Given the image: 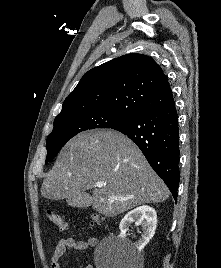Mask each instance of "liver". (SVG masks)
Segmentation results:
<instances>
[{
  "mask_svg": "<svg viewBox=\"0 0 221 268\" xmlns=\"http://www.w3.org/2000/svg\"><path fill=\"white\" fill-rule=\"evenodd\" d=\"M87 190H93L92 208L107 217L163 202L169 196L140 149L114 130H93L72 138L43 180L41 194L51 200L66 199L72 206L86 201L83 194Z\"/></svg>",
  "mask_w": 221,
  "mask_h": 268,
  "instance_id": "1",
  "label": "liver"
}]
</instances>
